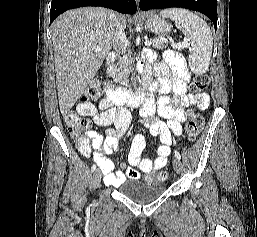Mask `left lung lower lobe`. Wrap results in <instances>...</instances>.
<instances>
[{
	"label": "left lung lower lobe",
	"instance_id": "1",
	"mask_svg": "<svg viewBox=\"0 0 257 237\" xmlns=\"http://www.w3.org/2000/svg\"><path fill=\"white\" fill-rule=\"evenodd\" d=\"M141 10L179 7L199 11L209 17L217 28V0H140Z\"/></svg>",
	"mask_w": 257,
	"mask_h": 237
}]
</instances>
